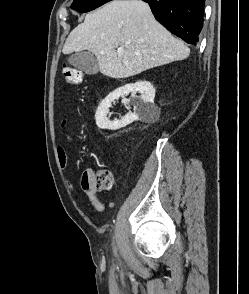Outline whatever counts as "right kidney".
Segmentation results:
<instances>
[{"instance_id":"ca27d5eb","label":"right kidney","mask_w":249,"mask_h":294,"mask_svg":"<svg viewBox=\"0 0 249 294\" xmlns=\"http://www.w3.org/2000/svg\"><path fill=\"white\" fill-rule=\"evenodd\" d=\"M137 93L141 95L136 96ZM131 94L132 100L125 98V96ZM122 97V103L133 105V112L129 111L120 120L110 121L107 117L109 107L112 102ZM155 98V88L148 81H138L134 84H126L110 93L105 99L100 103L96 114L95 120L96 125L100 129L108 130H118L123 128L133 121L143 120L152 121L157 118L159 114V108L154 103Z\"/></svg>"}]
</instances>
